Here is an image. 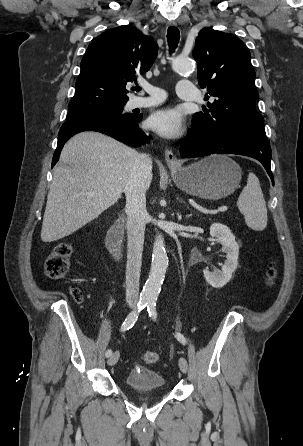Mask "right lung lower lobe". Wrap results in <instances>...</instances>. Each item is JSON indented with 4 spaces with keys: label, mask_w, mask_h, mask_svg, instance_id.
<instances>
[{
    "label": "right lung lower lobe",
    "mask_w": 303,
    "mask_h": 446,
    "mask_svg": "<svg viewBox=\"0 0 303 446\" xmlns=\"http://www.w3.org/2000/svg\"><path fill=\"white\" fill-rule=\"evenodd\" d=\"M141 119L142 115L125 118L98 113L67 119L58 134V143L53 156L52 167L59 160L61 149L66 141L82 131L101 132L133 147H138L148 142L147 135L138 127V122Z\"/></svg>",
    "instance_id": "obj_1"
}]
</instances>
